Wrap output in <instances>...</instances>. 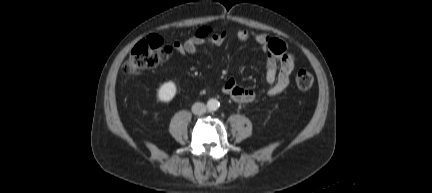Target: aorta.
Wrapping results in <instances>:
<instances>
[{"mask_svg":"<svg viewBox=\"0 0 432 193\" xmlns=\"http://www.w3.org/2000/svg\"><path fill=\"white\" fill-rule=\"evenodd\" d=\"M207 107L210 111H215L220 107V103L217 99H209L207 102Z\"/></svg>","mask_w":432,"mask_h":193,"instance_id":"aorta-1","label":"aorta"}]
</instances>
